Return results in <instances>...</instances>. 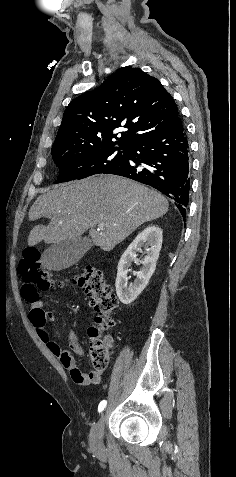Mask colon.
Masks as SVG:
<instances>
[{
    "instance_id": "colon-1",
    "label": "colon",
    "mask_w": 236,
    "mask_h": 477,
    "mask_svg": "<svg viewBox=\"0 0 236 477\" xmlns=\"http://www.w3.org/2000/svg\"><path fill=\"white\" fill-rule=\"evenodd\" d=\"M18 268L23 281L22 295L28 302H34L39 291L62 284L43 268L41 254L34 248L24 251ZM73 283L87 295L96 314V326L90 330L89 354L94 369L102 372L108 366L109 354L100 334L113 325L112 316L118 307V300L111 287L105 283L102 271L96 267L82 268L73 278Z\"/></svg>"
}]
</instances>
